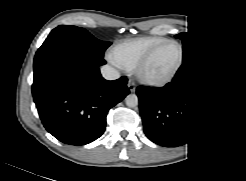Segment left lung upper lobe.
I'll use <instances>...</instances> for the list:
<instances>
[{
    "label": "left lung upper lobe",
    "mask_w": 246,
    "mask_h": 181,
    "mask_svg": "<svg viewBox=\"0 0 246 181\" xmlns=\"http://www.w3.org/2000/svg\"><path fill=\"white\" fill-rule=\"evenodd\" d=\"M183 43V59L210 50V47L190 32L176 35Z\"/></svg>",
    "instance_id": "1"
}]
</instances>
